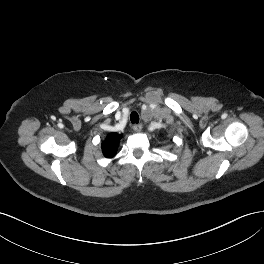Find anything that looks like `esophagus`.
I'll use <instances>...</instances> for the list:
<instances>
[{"instance_id": "esophagus-1", "label": "esophagus", "mask_w": 264, "mask_h": 264, "mask_svg": "<svg viewBox=\"0 0 264 264\" xmlns=\"http://www.w3.org/2000/svg\"><path fill=\"white\" fill-rule=\"evenodd\" d=\"M132 128L135 132H140L142 130V125L141 124H135V125H133Z\"/></svg>"}]
</instances>
